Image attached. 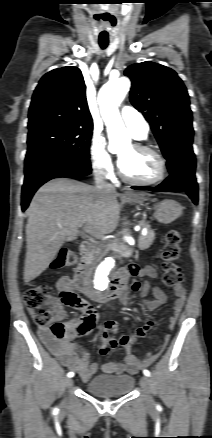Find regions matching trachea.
<instances>
[{
  "label": "trachea",
  "mask_w": 212,
  "mask_h": 438,
  "mask_svg": "<svg viewBox=\"0 0 212 438\" xmlns=\"http://www.w3.org/2000/svg\"><path fill=\"white\" fill-rule=\"evenodd\" d=\"M99 45H100V47H101L102 49H106L107 46H108V43L100 42Z\"/></svg>",
  "instance_id": "3493384b"
}]
</instances>
